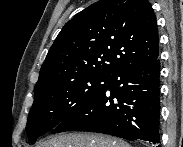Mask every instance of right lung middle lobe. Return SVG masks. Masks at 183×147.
Here are the masks:
<instances>
[{
	"label": "right lung middle lobe",
	"mask_w": 183,
	"mask_h": 147,
	"mask_svg": "<svg viewBox=\"0 0 183 147\" xmlns=\"http://www.w3.org/2000/svg\"><path fill=\"white\" fill-rule=\"evenodd\" d=\"M110 77L86 76L34 90L26 132L30 143L53 130L65 118L101 90Z\"/></svg>",
	"instance_id": "1"
}]
</instances>
